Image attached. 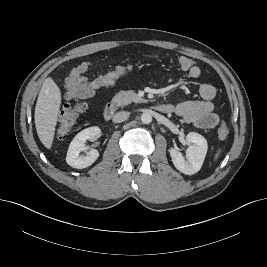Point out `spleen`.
<instances>
[{"instance_id":"3e777b00","label":"spleen","mask_w":267,"mask_h":267,"mask_svg":"<svg viewBox=\"0 0 267 267\" xmlns=\"http://www.w3.org/2000/svg\"><path fill=\"white\" fill-rule=\"evenodd\" d=\"M220 153H221V149H219V150L217 151V153L215 154V159H217V158L219 157Z\"/></svg>"}]
</instances>
